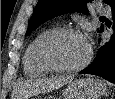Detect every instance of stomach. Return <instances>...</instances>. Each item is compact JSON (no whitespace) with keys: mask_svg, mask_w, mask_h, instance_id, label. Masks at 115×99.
Instances as JSON below:
<instances>
[{"mask_svg":"<svg viewBox=\"0 0 115 99\" xmlns=\"http://www.w3.org/2000/svg\"><path fill=\"white\" fill-rule=\"evenodd\" d=\"M105 92L106 84L102 80L82 78L69 83L67 88L63 90V97L64 99H98Z\"/></svg>","mask_w":115,"mask_h":99,"instance_id":"0dacf381","label":"stomach"}]
</instances>
